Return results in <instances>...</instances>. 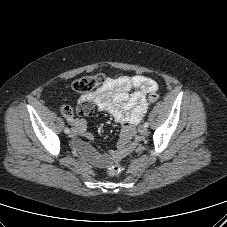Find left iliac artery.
Wrapping results in <instances>:
<instances>
[{
  "mask_svg": "<svg viewBox=\"0 0 227 227\" xmlns=\"http://www.w3.org/2000/svg\"><path fill=\"white\" fill-rule=\"evenodd\" d=\"M144 126H145V127H148V126H149V123H148V122H145V123H144Z\"/></svg>",
  "mask_w": 227,
  "mask_h": 227,
  "instance_id": "1",
  "label": "left iliac artery"
}]
</instances>
